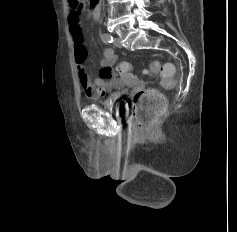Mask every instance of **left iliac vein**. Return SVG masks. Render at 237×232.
I'll return each mask as SVG.
<instances>
[{"instance_id":"obj_1","label":"left iliac vein","mask_w":237,"mask_h":232,"mask_svg":"<svg viewBox=\"0 0 237 232\" xmlns=\"http://www.w3.org/2000/svg\"><path fill=\"white\" fill-rule=\"evenodd\" d=\"M114 45L118 48H121L122 45H121V42H120V39L118 37L114 38Z\"/></svg>"}]
</instances>
